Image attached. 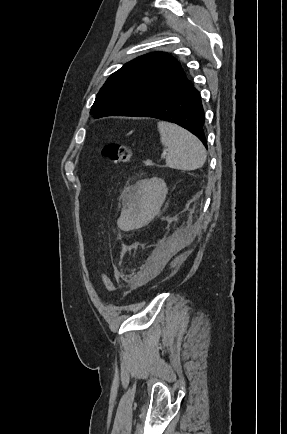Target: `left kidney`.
Listing matches in <instances>:
<instances>
[{
	"label": "left kidney",
	"mask_w": 287,
	"mask_h": 434,
	"mask_svg": "<svg viewBox=\"0 0 287 434\" xmlns=\"http://www.w3.org/2000/svg\"><path fill=\"white\" fill-rule=\"evenodd\" d=\"M167 193L168 188L162 179L154 177L137 182L124 197L128 216L137 218V224L148 222L160 209Z\"/></svg>",
	"instance_id": "5707ae66"
}]
</instances>
